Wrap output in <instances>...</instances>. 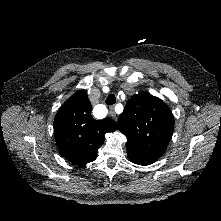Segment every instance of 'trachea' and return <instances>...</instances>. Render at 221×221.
<instances>
[{"instance_id":"trachea-1","label":"trachea","mask_w":221,"mask_h":221,"mask_svg":"<svg viewBox=\"0 0 221 221\" xmlns=\"http://www.w3.org/2000/svg\"><path fill=\"white\" fill-rule=\"evenodd\" d=\"M115 102H116V96L114 94L108 95V97L106 98V104L110 106L115 104Z\"/></svg>"}]
</instances>
